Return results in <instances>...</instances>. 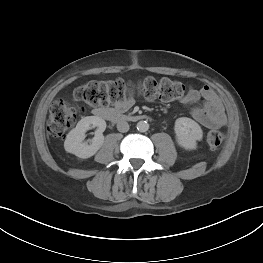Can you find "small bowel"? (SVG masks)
<instances>
[{"instance_id":"1","label":"small bowel","mask_w":263,"mask_h":263,"mask_svg":"<svg viewBox=\"0 0 263 263\" xmlns=\"http://www.w3.org/2000/svg\"><path fill=\"white\" fill-rule=\"evenodd\" d=\"M202 100L201 105H197ZM182 102L191 106L192 117L201 125L207 128H217L225 125L226 115L223 105L209 86H204L200 90L191 89ZM134 104L133 98H127L117 104V110L120 112L128 110Z\"/></svg>"}]
</instances>
